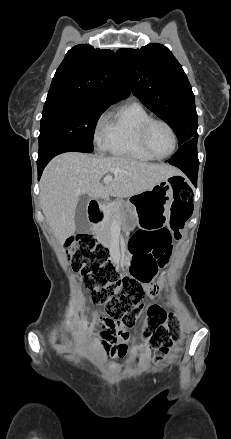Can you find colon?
Wrapping results in <instances>:
<instances>
[{
	"label": "colon",
	"instance_id": "1",
	"mask_svg": "<svg viewBox=\"0 0 231 439\" xmlns=\"http://www.w3.org/2000/svg\"><path fill=\"white\" fill-rule=\"evenodd\" d=\"M172 188L176 199L171 205L169 227L179 235L193 211L192 188L182 179L174 180ZM142 239V235H136L130 240L133 248ZM65 251L69 255L70 266L81 273L94 301L103 303L106 312L115 321L126 327L133 326L143 308L141 301L146 294L145 284L155 271L137 263L132 266L131 275L121 276L110 259L106 245L91 234L70 237L65 243ZM167 262L168 259L164 257L159 261V266L163 267ZM143 336L157 349L156 359L162 360L169 353L171 345L179 339L178 320L155 305L148 309Z\"/></svg>",
	"mask_w": 231,
	"mask_h": 439
}]
</instances>
